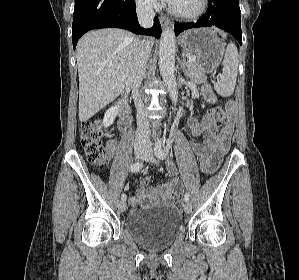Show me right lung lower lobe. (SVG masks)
I'll list each match as a JSON object with an SVG mask.
<instances>
[{
    "mask_svg": "<svg viewBox=\"0 0 299 280\" xmlns=\"http://www.w3.org/2000/svg\"><path fill=\"white\" fill-rule=\"evenodd\" d=\"M122 28L136 34L159 38L160 23L154 18L152 28H142L137 19L134 0H75L72 24V43L76 48L79 38L89 30Z\"/></svg>",
    "mask_w": 299,
    "mask_h": 280,
    "instance_id": "right-lung-lower-lobe-1",
    "label": "right lung lower lobe"
}]
</instances>
